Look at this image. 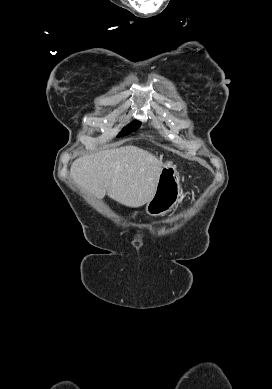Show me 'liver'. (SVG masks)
<instances>
[{"instance_id":"liver-1","label":"liver","mask_w":272,"mask_h":389,"mask_svg":"<svg viewBox=\"0 0 272 389\" xmlns=\"http://www.w3.org/2000/svg\"><path fill=\"white\" fill-rule=\"evenodd\" d=\"M162 166V160L152 153L127 145L76 159L70 176L98 198L107 193L125 206L138 208L153 197Z\"/></svg>"}]
</instances>
